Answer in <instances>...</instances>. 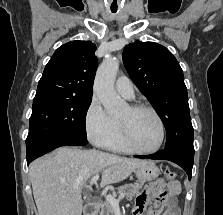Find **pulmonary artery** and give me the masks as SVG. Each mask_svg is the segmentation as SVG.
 <instances>
[{"mask_svg":"<svg viewBox=\"0 0 223 215\" xmlns=\"http://www.w3.org/2000/svg\"><path fill=\"white\" fill-rule=\"evenodd\" d=\"M116 91L127 99L134 98L133 84L126 76L119 77L115 82Z\"/></svg>","mask_w":223,"mask_h":215,"instance_id":"e3ab8cb5","label":"pulmonary artery"}]
</instances>
